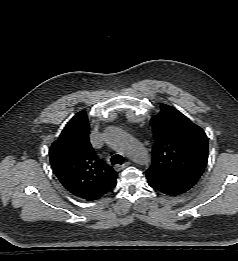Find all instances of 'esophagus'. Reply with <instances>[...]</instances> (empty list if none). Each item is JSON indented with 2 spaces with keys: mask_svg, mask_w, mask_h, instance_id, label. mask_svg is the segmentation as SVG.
<instances>
[{
  "mask_svg": "<svg viewBox=\"0 0 238 261\" xmlns=\"http://www.w3.org/2000/svg\"><path fill=\"white\" fill-rule=\"evenodd\" d=\"M130 164H131V163H130L129 161H128V162H125V163L122 164V165L117 164V165L114 166V170H115V171H120V170H122V169L128 167Z\"/></svg>",
  "mask_w": 238,
  "mask_h": 261,
  "instance_id": "34e87169",
  "label": "esophagus"
}]
</instances>
